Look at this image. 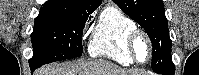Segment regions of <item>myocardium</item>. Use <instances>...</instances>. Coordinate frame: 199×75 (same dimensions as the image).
Listing matches in <instances>:
<instances>
[{
    "label": "myocardium",
    "mask_w": 199,
    "mask_h": 75,
    "mask_svg": "<svg viewBox=\"0 0 199 75\" xmlns=\"http://www.w3.org/2000/svg\"><path fill=\"white\" fill-rule=\"evenodd\" d=\"M140 37L143 38L149 46V55H148L147 60L144 61V62H141L137 58L136 53H135V42ZM127 46H128V50H129V53L131 55V58L137 64H145V63H147L151 60V57H152V54H153V44H152V41H151L149 35L145 31L138 29V28L131 30L128 33V36H127Z\"/></svg>",
    "instance_id": "myocardium-1"
}]
</instances>
